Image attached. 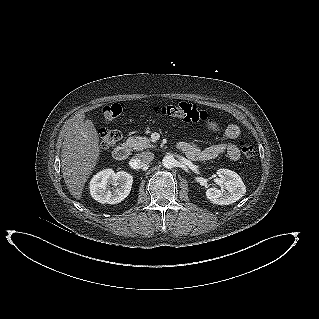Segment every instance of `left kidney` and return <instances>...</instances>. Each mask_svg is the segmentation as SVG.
<instances>
[{
  "label": "left kidney",
  "mask_w": 319,
  "mask_h": 319,
  "mask_svg": "<svg viewBox=\"0 0 319 319\" xmlns=\"http://www.w3.org/2000/svg\"><path fill=\"white\" fill-rule=\"evenodd\" d=\"M216 173L219 177L218 184L221 189H207L206 197L209 201L218 205H229L244 196L246 187L236 172L228 169H219Z\"/></svg>",
  "instance_id": "1"
}]
</instances>
